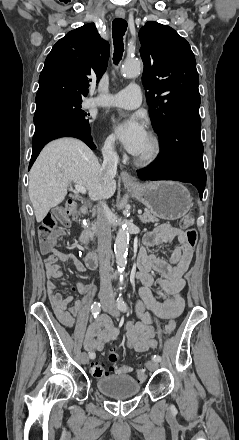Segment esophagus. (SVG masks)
Masks as SVG:
<instances>
[{"mask_svg": "<svg viewBox=\"0 0 239 440\" xmlns=\"http://www.w3.org/2000/svg\"><path fill=\"white\" fill-rule=\"evenodd\" d=\"M115 15H116V17L124 18L125 11L116 10ZM121 178L124 183H131L134 185L138 184L137 180L134 177H131V175H129L127 172H124V171L121 172Z\"/></svg>", "mask_w": 239, "mask_h": 440, "instance_id": "esophagus-1", "label": "esophagus"}]
</instances>
